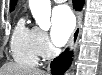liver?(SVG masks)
<instances>
[{
  "label": "liver",
  "mask_w": 102,
  "mask_h": 75,
  "mask_svg": "<svg viewBox=\"0 0 102 75\" xmlns=\"http://www.w3.org/2000/svg\"><path fill=\"white\" fill-rule=\"evenodd\" d=\"M0 75H46L37 68L24 67L16 63H6L0 68Z\"/></svg>",
  "instance_id": "6515ba94"
}]
</instances>
